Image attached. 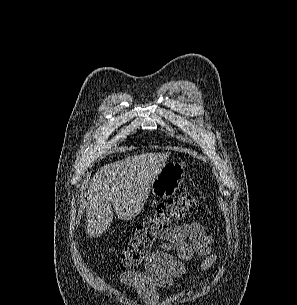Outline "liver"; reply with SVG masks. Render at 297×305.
<instances>
[{"mask_svg":"<svg viewBox=\"0 0 297 305\" xmlns=\"http://www.w3.org/2000/svg\"><path fill=\"white\" fill-rule=\"evenodd\" d=\"M170 153L128 156L102 167L91 179L86 204V232L101 236L113 221V210L123 220H132L143 209L150 186Z\"/></svg>","mask_w":297,"mask_h":305,"instance_id":"6515ba94","label":"liver"}]
</instances>
